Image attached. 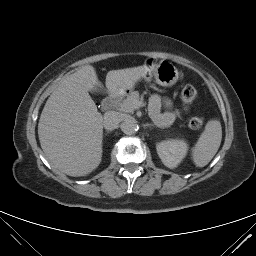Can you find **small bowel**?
I'll return each instance as SVG.
<instances>
[{"instance_id":"1","label":"small bowel","mask_w":256,"mask_h":256,"mask_svg":"<svg viewBox=\"0 0 256 256\" xmlns=\"http://www.w3.org/2000/svg\"><path fill=\"white\" fill-rule=\"evenodd\" d=\"M151 114L155 123L159 126H167L173 122L179 114L172 108V103L168 99L154 96L151 100Z\"/></svg>"}]
</instances>
